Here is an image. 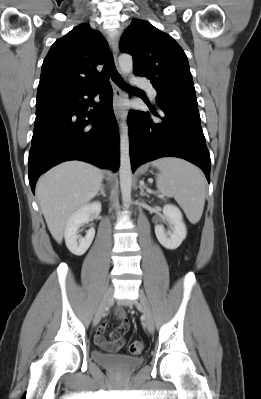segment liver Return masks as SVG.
<instances>
[{
    "mask_svg": "<svg viewBox=\"0 0 261 399\" xmlns=\"http://www.w3.org/2000/svg\"><path fill=\"white\" fill-rule=\"evenodd\" d=\"M104 172L82 161H68L45 173L36 195L53 238L61 243L69 217L98 193Z\"/></svg>",
    "mask_w": 261,
    "mask_h": 399,
    "instance_id": "1",
    "label": "liver"
}]
</instances>
